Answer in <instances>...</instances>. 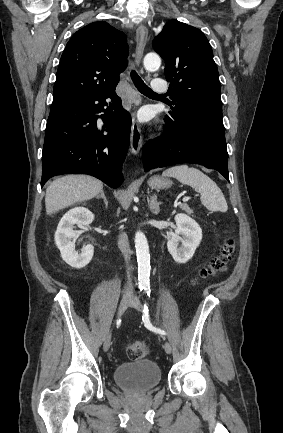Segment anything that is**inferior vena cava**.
<instances>
[{
	"instance_id": "1",
	"label": "inferior vena cava",
	"mask_w": 283,
	"mask_h": 433,
	"mask_svg": "<svg viewBox=\"0 0 283 433\" xmlns=\"http://www.w3.org/2000/svg\"><path fill=\"white\" fill-rule=\"evenodd\" d=\"M118 247H119L126 263H128L129 259H131V251H130V245L128 243V237H127L126 233H121V235H119ZM128 277H130V275H128ZM128 283H131L130 279H129Z\"/></svg>"
}]
</instances>
